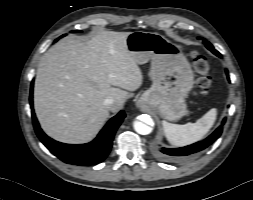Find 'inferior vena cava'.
Returning <instances> with one entry per match:
<instances>
[{"label": "inferior vena cava", "mask_w": 253, "mask_h": 200, "mask_svg": "<svg viewBox=\"0 0 253 200\" xmlns=\"http://www.w3.org/2000/svg\"><path fill=\"white\" fill-rule=\"evenodd\" d=\"M103 104L106 108L111 109L114 104V99L111 97H108L104 100Z\"/></svg>", "instance_id": "602c4592"}]
</instances>
